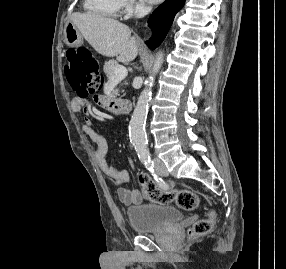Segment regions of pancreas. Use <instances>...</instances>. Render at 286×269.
Returning a JSON list of instances; mask_svg holds the SVG:
<instances>
[{
  "label": "pancreas",
  "instance_id": "1",
  "mask_svg": "<svg viewBox=\"0 0 286 269\" xmlns=\"http://www.w3.org/2000/svg\"><path fill=\"white\" fill-rule=\"evenodd\" d=\"M118 62L116 60H109L104 65V73L106 74L108 79H111L114 76L115 68L118 66ZM118 88H115L110 96L105 97L107 100H111L118 95Z\"/></svg>",
  "mask_w": 286,
  "mask_h": 269
}]
</instances>
